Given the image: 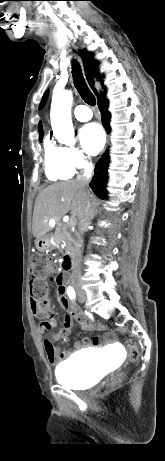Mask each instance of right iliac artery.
I'll return each instance as SVG.
<instances>
[{
  "label": "right iliac artery",
  "instance_id": "right-iliac-artery-1",
  "mask_svg": "<svg viewBox=\"0 0 165 461\" xmlns=\"http://www.w3.org/2000/svg\"><path fill=\"white\" fill-rule=\"evenodd\" d=\"M67 294H68V296L70 298H72V299L75 298V291H74V289L72 287H68Z\"/></svg>",
  "mask_w": 165,
  "mask_h": 461
}]
</instances>
